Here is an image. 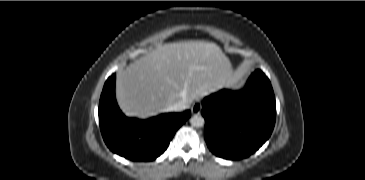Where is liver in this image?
I'll list each match as a JSON object with an SVG mask.
<instances>
[{"label":"liver","instance_id":"6515ba94","mask_svg":"<svg viewBox=\"0 0 365 180\" xmlns=\"http://www.w3.org/2000/svg\"><path fill=\"white\" fill-rule=\"evenodd\" d=\"M231 76L229 58L213 42L159 45L117 74V102L127 116L148 118L180 101L189 107L222 88Z\"/></svg>","mask_w":365,"mask_h":180}]
</instances>
